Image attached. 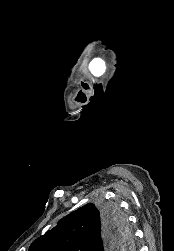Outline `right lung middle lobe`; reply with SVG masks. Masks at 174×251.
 <instances>
[{"label": "right lung middle lobe", "mask_w": 174, "mask_h": 251, "mask_svg": "<svg viewBox=\"0 0 174 251\" xmlns=\"http://www.w3.org/2000/svg\"><path fill=\"white\" fill-rule=\"evenodd\" d=\"M99 209L105 218L116 227L117 232L123 237V243L121 244L120 249L133 250L134 241L132 232L129 228L126 216L120 210L119 206L115 203L107 202L100 204Z\"/></svg>", "instance_id": "right-lung-middle-lobe-1"}]
</instances>
